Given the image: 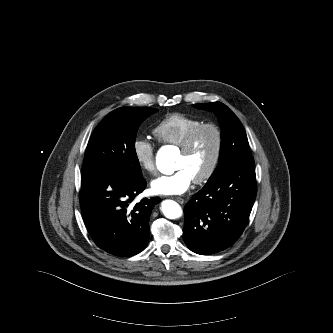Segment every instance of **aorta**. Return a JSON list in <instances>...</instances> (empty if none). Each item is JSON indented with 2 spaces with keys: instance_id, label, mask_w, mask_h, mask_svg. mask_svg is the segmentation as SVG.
Here are the masks:
<instances>
[{
  "instance_id": "1",
  "label": "aorta",
  "mask_w": 333,
  "mask_h": 333,
  "mask_svg": "<svg viewBox=\"0 0 333 333\" xmlns=\"http://www.w3.org/2000/svg\"><path fill=\"white\" fill-rule=\"evenodd\" d=\"M176 154L170 146H163L159 149L156 155V165L158 170L166 175L174 172V160ZM163 215L168 219H177L182 216V209L180 205L173 200H164L161 204Z\"/></svg>"
}]
</instances>
